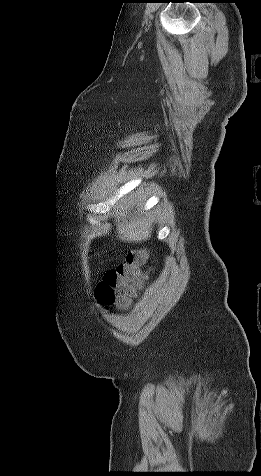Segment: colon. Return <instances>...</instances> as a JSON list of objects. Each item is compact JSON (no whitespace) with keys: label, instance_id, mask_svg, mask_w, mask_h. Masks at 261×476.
<instances>
[{"label":"colon","instance_id":"colon-1","mask_svg":"<svg viewBox=\"0 0 261 476\" xmlns=\"http://www.w3.org/2000/svg\"><path fill=\"white\" fill-rule=\"evenodd\" d=\"M147 252L135 250L127 255L125 262L108 271L97 287V296L104 305L127 307L135 291L144 280L143 268L146 265Z\"/></svg>","mask_w":261,"mask_h":476}]
</instances>
